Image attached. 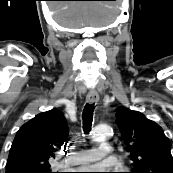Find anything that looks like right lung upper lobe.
<instances>
[{"instance_id": "right-lung-upper-lobe-1", "label": "right lung upper lobe", "mask_w": 173, "mask_h": 173, "mask_svg": "<svg viewBox=\"0 0 173 173\" xmlns=\"http://www.w3.org/2000/svg\"><path fill=\"white\" fill-rule=\"evenodd\" d=\"M68 136L62 112L52 109L36 115L22 125L12 143L6 173H32L50 168L54 157Z\"/></svg>"}]
</instances>
